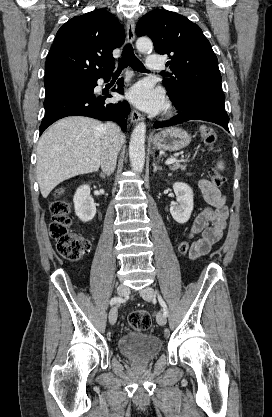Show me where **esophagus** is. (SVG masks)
<instances>
[{
    "instance_id": "esophagus-1",
    "label": "esophagus",
    "mask_w": 272,
    "mask_h": 417,
    "mask_svg": "<svg viewBox=\"0 0 272 417\" xmlns=\"http://www.w3.org/2000/svg\"><path fill=\"white\" fill-rule=\"evenodd\" d=\"M126 37H127V40H128L129 43H133L134 40H135V22L132 19H129L127 21ZM141 120H142V115L138 111L133 110L131 112V122L133 124H136V123L140 122Z\"/></svg>"
}]
</instances>
